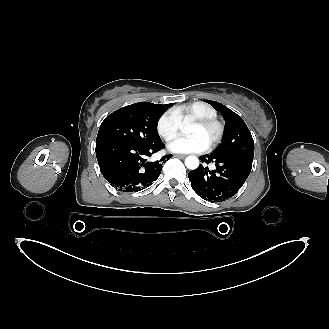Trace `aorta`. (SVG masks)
<instances>
[{
  "instance_id": "762f6f07",
  "label": "aorta",
  "mask_w": 329,
  "mask_h": 329,
  "mask_svg": "<svg viewBox=\"0 0 329 329\" xmlns=\"http://www.w3.org/2000/svg\"><path fill=\"white\" fill-rule=\"evenodd\" d=\"M185 166L190 170H195L199 167V159L196 156H188L185 159Z\"/></svg>"
}]
</instances>
